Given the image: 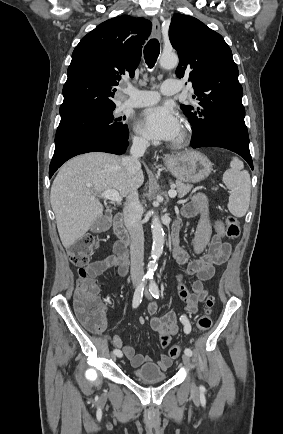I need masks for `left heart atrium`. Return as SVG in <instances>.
<instances>
[{"label":"left heart atrium","instance_id":"left-heart-atrium-1","mask_svg":"<svg viewBox=\"0 0 283 434\" xmlns=\"http://www.w3.org/2000/svg\"><path fill=\"white\" fill-rule=\"evenodd\" d=\"M137 127L143 135L152 140L171 141L177 138L181 131L179 116L168 104L145 109Z\"/></svg>","mask_w":283,"mask_h":434}]
</instances>
